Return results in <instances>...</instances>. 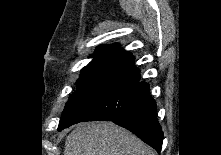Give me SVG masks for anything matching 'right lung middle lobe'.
Instances as JSON below:
<instances>
[{
  "instance_id": "obj_1",
  "label": "right lung middle lobe",
  "mask_w": 221,
  "mask_h": 155,
  "mask_svg": "<svg viewBox=\"0 0 221 155\" xmlns=\"http://www.w3.org/2000/svg\"><path fill=\"white\" fill-rule=\"evenodd\" d=\"M122 59L121 56L111 55L95 57L82 69L77 89L66 103L58 131L80 122L86 116L113 69Z\"/></svg>"
}]
</instances>
